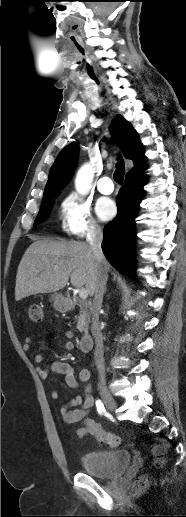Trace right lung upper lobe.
<instances>
[{"label":"right lung upper lobe","instance_id":"1","mask_svg":"<svg viewBox=\"0 0 186 517\" xmlns=\"http://www.w3.org/2000/svg\"><path fill=\"white\" fill-rule=\"evenodd\" d=\"M113 133L116 135L124 156L134 162L136 167L133 171L140 169L144 163V152L132 125L118 115L113 120ZM77 157L78 144L76 142L69 144L60 152L51 167L43 198L49 194L58 193L66 185L75 169Z\"/></svg>","mask_w":186,"mask_h":517}]
</instances>
